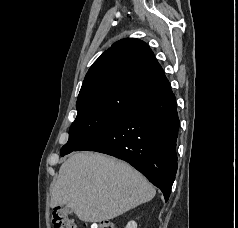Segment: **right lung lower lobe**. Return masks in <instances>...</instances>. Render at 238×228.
<instances>
[{
  "instance_id": "98d812e1",
  "label": "right lung lower lobe",
  "mask_w": 238,
  "mask_h": 228,
  "mask_svg": "<svg viewBox=\"0 0 238 228\" xmlns=\"http://www.w3.org/2000/svg\"><path fill=\"white\" fill-rule=\"evenodd\" d=\"M179 118L172 90L139 103L74 151L105 153L130 163L169 199L177 171Z\"/></svg>"
}]
</instances>
